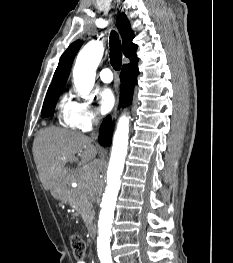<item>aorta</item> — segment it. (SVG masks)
I'll return each mask as SVG.
<instances>
[{"label": "aorta", "instance_id": "obj_1", "mask_svg": "<svg viewBox=\"0 0 233 263\" xmlns=\"http://www.w3.org/2000/svg\"><path fill=\"white\" fill-rule=\"evenodd\" d=\"M102 42L92 40L79 52L73 70L74 85L82 97H88L95 82V71L103 56ZM129 118L122 116L113 137L107 171V184L102 189L101 211L98 221L97 249L101 260L111 259L110 237L120 178L128 147Z\"/></svg>", "mask_w": 233, "mask_h": 263}]
</instances>
